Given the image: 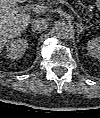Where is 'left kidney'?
<instances>
[{"mask_svg":"<svg viewBox=\"0 0 100 118\" xmlns=\"http://www.w3.org/2000/svg\"><path fill=\"white\" fill-rule=\"evenodd\" d=\"M87 50L92 57L100 58V38L96 37L88 41Z\"/></svg>","mask_w":100,"mask_h":118,"instance_id":"1","label":"left kidney"}]
</instances>
